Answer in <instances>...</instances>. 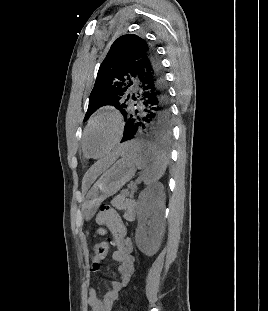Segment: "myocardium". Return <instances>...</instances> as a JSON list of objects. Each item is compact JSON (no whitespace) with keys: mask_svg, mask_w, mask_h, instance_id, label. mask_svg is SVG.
Segmentation results:
<instances>
[{"mask_svg":"<svg viewBox=\"0 0 268 311\" xmlns=\"http://www.w3.org/2000/svg\"><path fill=\"white\" fill-rule=\"evenodd\" d=\"M110 118L114 121L115 126H116V133L115 136L113 138V140L111 141V143L109 144V146L106 148L105 151H103L101 154L99 155H92L87 151L86 148V137L87 134L89 132V130L91 129V127L100 119L102 118ZM123 130H124V123H123V119L121 117V115L113 110V109H103L98 111L95 115H93L89 121L87 122L84 131H83V136H82V148L85 152V154L91 158H100L105 156L106 154H108L120 141L122 134H123Z\"/></svg>","mask_w":268,"mask_h":311,"instance_id":"f54148a6","label":"myocardium"}]
</instances>
